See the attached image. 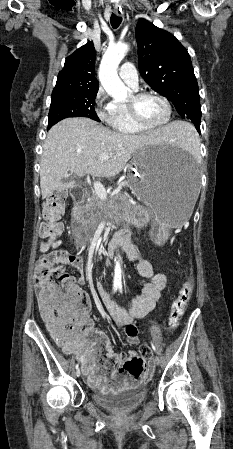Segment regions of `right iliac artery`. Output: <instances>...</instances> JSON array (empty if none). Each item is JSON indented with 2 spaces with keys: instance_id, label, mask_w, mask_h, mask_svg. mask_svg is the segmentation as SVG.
Listing matches in <instances>:
<instances>
[{
  "instance_id": "obj_1",
  "label": "right iliac artery",
  "mask_w": 233,
  "mask_h": 449,
  "mask_svg": "<svg viewBox=\"0 0 233 449\" xmlns=\"http://www.w3.org/2000/svg\"><path fill=\"white\" fill-rule=\"evenodd\" d=\"M116 290H117V287H116V286H114V287H113V293H115V292H116ZM78 368H79V364H77V365H76V369H78Z\"/></svg>"
}]
</instances>
